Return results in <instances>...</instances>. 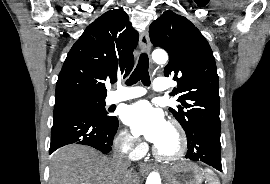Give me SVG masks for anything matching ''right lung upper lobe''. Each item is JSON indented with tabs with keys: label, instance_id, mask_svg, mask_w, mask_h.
I'll return each instance as SVG.
<instances>
[{
	"label": "right lung upper lobe",
	"instance_id": "obj_1",
	"mask_svg": "<svg viewBox=\"0 0 270 184\" xmlns=\"http://www.w3.org/2000/svg\"><path fill=\"white\" fill-rule=\"evenodd\" d=\"M138 33L129 16L113 9L91 23L69 51L56 83V98L106 97L107 77L127 76L134 65Z\"/></svg>",
	"mask_w": 270,
	"mask_h": 184
}]
</instances>
